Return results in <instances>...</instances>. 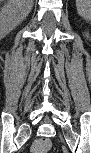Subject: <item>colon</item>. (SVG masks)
I'll return each mask as SVG.
<instances>
[{
  "instance_id": "5ec220e1",
  "label": "colon",
  "mask_w": 91,
  "mask_h": 153,
  "mask_svg": "<svg viewBox=\"0 0 91 153\" xmlns=\"http://www.w3.org/2000/svg\"><path fill=\"white\" fill-rule=\"evenodd\" d=\"M51 149V141L48 138H38L34 141L31 152L32 153H47Z\"/></svg>"
}]
</instances>
